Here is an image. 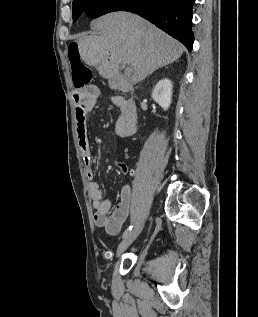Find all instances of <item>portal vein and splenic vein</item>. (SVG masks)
<instances>
[{"label": "portal vein and splenic vein", "mask_w": 258, "mask_h": 317, "mask_svg": "<svg viewBox=\"0 0 258 317\" xmlns=\"http://www.w3.org/2000/svg\"><path fill=\"white\" fill-rule=\"evenodd\" d=\"M125 70H126V74H131V72H132L131 66H127V68H125Z\"/></svg>", "instance_id": "obj_1"}]
</instances>
